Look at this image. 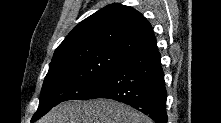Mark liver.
I'll use <instances>...</instances> for the list:
<instances>
[{"mask_svg":"<svg viewBox=\"0 0 221 123\" xmlns=\"http://www.w3.org/2000/svg\"><path fill=\"white\" fill-rule=\"evenodd\" d=\"M38 123H152V120L125 104L96 99L61 103Z\"/></svg>","mask_w":221,"mask_h":123,"instance_id":"obj_1","label":"liver"}]
</instances>
